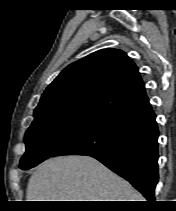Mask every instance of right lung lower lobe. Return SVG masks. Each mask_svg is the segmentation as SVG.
I'll return each instance as SVG.
<instances>
[{
  "instance_id": "right-lung-lower-lobe-1",
  "label": "right lung lower lobe",
  "mask_w": 176,
  "mask_h": 211,
  "mask_svg": "<svg viewBox=\"0 0 176 211\" xmlns=\"http://www.w3.org/2000/svg\"><path fill=\"white\" fill-rule=\"evenodd\" d=\"M158 136L156 117L148 102L102 119L52 156H92L154 202L159 178Z\"/></svg>"
}]
</instances>
